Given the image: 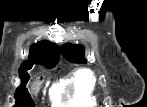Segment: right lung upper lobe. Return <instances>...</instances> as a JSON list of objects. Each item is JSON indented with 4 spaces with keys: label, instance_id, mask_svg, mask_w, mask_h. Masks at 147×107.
Instances as JSON below:
<instances>
[{
    "label": "right lung upper lobe",
    "instance_id": "1",
    "mask_svg": "<svg viewBox=\"0 0 147 107\" xmlns=\"http://www.w3.org/2000/svg\"><path fill=\"white\" fill-rule=\"evenodd\" d=\"M60 51L56 44L49 41H40L31 46L28 60L25 61L19 71L24 67L41 64L46 67H53L59 61Z\"/></svg>",
    "mask_w": 147,
    "mask_h": 107
}]
</instances>
